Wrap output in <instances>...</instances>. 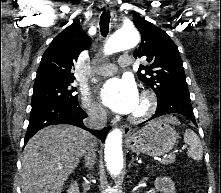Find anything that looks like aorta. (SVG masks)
<instances>
[{"instance_id":"obj_1","label":"aorta","mask_w":221,"mask_h":193,"mask_svg":"<svg viewBox=\"0 0 221 193\" xmlns=\"http://www.w3.org/2000/svg\"><path fill=\"white\" fill-rule=\"evenodd\" d=\"M140 40L139 33L134 28H121L108 40L105 47L107 54L123 51L135 47ZM105 161L112 176H117L123 168L122 132L113 129L107 136L105 143Z\"/></svg>"}]
</instances>
